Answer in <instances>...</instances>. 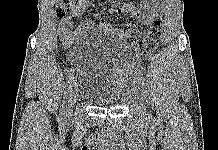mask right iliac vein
I'll list each match as a JSON object with an SVG mask.
<instances>
[{
  "mask_svg": "<svg viewBox=\"0 0 218 150\" xmlns=\"http://www.w3.org/2000/svg\"><path fill=\"white\" fill-rule=\"evenodd\" d=\"M78 97V85L76 81L72 83L71 89L69 91V99H68V104L66 106L65 110V116H70L74 107V104L77 100Z\"/></svg>",
  "mask_w": 218,
  "mask_h": 150,
  "instance_id": "63e3f726",
  "label": "right iliac vein"
}]
</instances>
